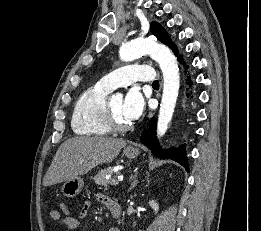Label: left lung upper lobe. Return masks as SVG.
I'll use <instances>...</instances> for the list:
<instances>
[{
  "instance_id": "5c2ea615",
  "label": "left lung upper lobe",
  "mask_w": 261,
  "mask_h": 231,
  "mask_svg": "<svg viewBox=\"0 0 261 231\" xmlns=\"http://www.w3.org/2000/svg\"><path fill=\"white\" fill-rule=\"evenodd\" d=\"M150 29L153 35H155L162 43L170 47L175 55H178V50L175 44L172 42L166 30L160 24L157 22H152ZM179 58H181V56H179Z\"/></svg>"
}]
</instances>
